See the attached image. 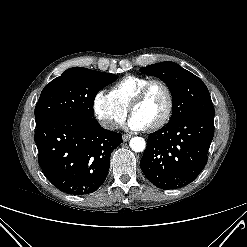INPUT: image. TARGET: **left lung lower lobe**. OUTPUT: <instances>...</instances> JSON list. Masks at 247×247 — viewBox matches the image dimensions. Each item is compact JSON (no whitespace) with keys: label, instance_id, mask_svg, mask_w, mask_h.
Masks as SVG:
<instances>
[{"label":"left lung lower lobe","instance_id":"left-lung-lower-lobe-1","mask_svg":"<svg viewBox=\"0 0 247 247\" xmlns=\"http://www.w3.org/2000/svg\"><path fill=\"white\" fill-rule=\"evenodd\" d=\"M214 118L188 115L149 135L140 166L161 189H177L194 181L208 160Z\"/></svg>","mask_w":247,"mask_h":247}]
</instances>
